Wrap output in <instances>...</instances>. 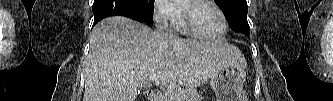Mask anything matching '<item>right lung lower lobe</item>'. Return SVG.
<instances>
[{
	"mask_svg": "<svg viewBox=\"0 0 333 101\" xmlns=\"http://www.w3.org/2000/svg\"><path fill=\"white\" fill-rule=\"evenodd\" d=\"M94 25L114 15L125 16L139 22H147L142 11L132 0H94Z\"/></svg>",
	"mask_w": 333,
	"mask_h": 101,
	"instance_id": "right-lung-lower-lobe-1",
	"label": "right lung lower lobe"
}]
</instances>
